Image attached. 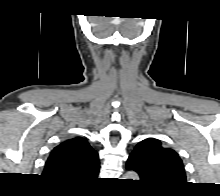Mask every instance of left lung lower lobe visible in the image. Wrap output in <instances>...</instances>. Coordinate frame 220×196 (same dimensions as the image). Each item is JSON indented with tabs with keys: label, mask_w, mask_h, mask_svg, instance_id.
<instances>
[{
	"label": "left lung lower lobe",
	"mask_w": 220,
	"mask_h": 196,
	"mask_svg": "<svg viewBox=\"0 0 220 196\" xmlns=\"http://www.w3.org/2000/svg\"><path fill=\"white\" fill-rule=\"evenodd\" d=\"M126 168H127L128 170H131V168H130L129 166H126Z\"/></svg>",
	"instance_id": "left-lung-lower-lobe-1"
}]
</instances>
